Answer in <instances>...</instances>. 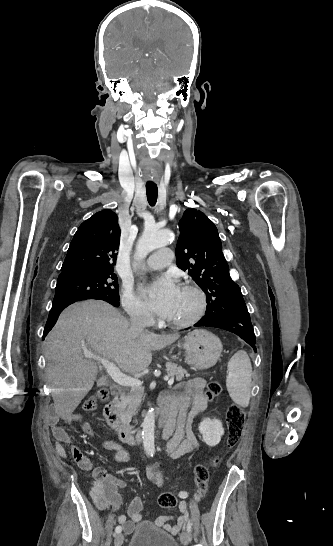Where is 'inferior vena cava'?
Returning <instances> with one entry per match:
<instances>
[{"instance_id":"602c4592","label":"inferior vena cava","mask_w":333,"mask_h":546,"mask_svg":"<svg viewBox=\"0 0 333 546\" xmlns=\"http://www.w3.org/2000/svg\"><path fill=\"white\" fill-rule=\"evenodd\" d=\"M131 331L134 333H140L146 327V321L142 315L137 311L132 310L130 312Z\"/></svg>"}]
</instances>
